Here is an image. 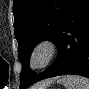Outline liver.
I'll return each mask as SVG.
<instances>
[{
	"label": "liver",
	"mask_w": 89,
	"mask_h": 89,
	"mask_svg": "<svg viewBox=\"0 0 89 89\" xmlns=\"http://www.w3.org/2000/svg\"><path fill=\"white\" fill-rule=\"evenodd\" d=\"M54 81H55V79H50V80L44 82L43 85L35 86L33 89H46V87L49 86L50 84H52Z\"/></svg>",
	"instance_id": "obj_1"
}]
</instances>
